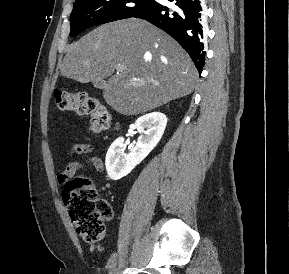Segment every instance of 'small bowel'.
<instances>
[{
  "mask_svg": "<svg viewBox=\"0 0 289 274\" xmlns=\"http://www.w3.org/2000/svg\"><path fill=\"white\" fill-rule=\"evenodd\" d=\"M88 139L85 138V141ZM94 152V147L88 143V142H82V143H75L70 148V154L72 155H89L85 161H72L70 162L65 170L58 176V182L61 185H65L66 182L71 180L75 174L85 169L87 166L92 165L97 171L102 172L104 169V165L102 160L92 155ZM93 249H96L98 251H102V246L100 244H93Z\"/></svg>",
  "mask_w": 289,
  "mask_h": 274,
  "instance_id": "small-bowel-1",
  "label": "small bowel"
}]
</instances>
